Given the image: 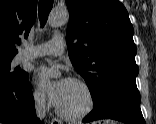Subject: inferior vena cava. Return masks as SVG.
I'll use <instances>...</instances> for the list:
<instances>
[{
  "label": "inferior vena cava",
  "instance_id": "obj_1",
  "mask_svg": "<svg viewBox=\"0 0 156 124\" xmlns=\"http://www.w3.org/2000/svg\"><path fill=\"white\" fill-rule=\"evenodd\" d=\"M34 100H35V109H36L37 117L44 118L46 113L45 96L42 94H36L34 95Z\"/></svg>",
  "mask_w": 156,
  "mask_h": 124
}]
</instances>
